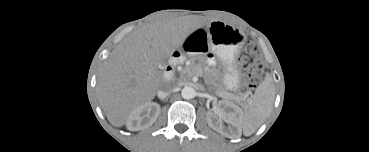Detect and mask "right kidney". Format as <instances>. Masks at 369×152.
Here are the masks:
<instances>
[{
	"mask_svg": "<svg viewBox=\"0 0 369 152\" xmlns=\"http://www.w3.org/2000/svg\"><path fill=\"white\" fill-rule=\"evenodd\" d=\"M160 105L147 102L134 109L128 116L126 125L130 131L146 129L154 124L160 114Z\"/></svg>",
	"mask_w": 369,
	"mask_h": 152,
	"instance_id": "1",
	"label": "right kidney"
}]
</instances>
